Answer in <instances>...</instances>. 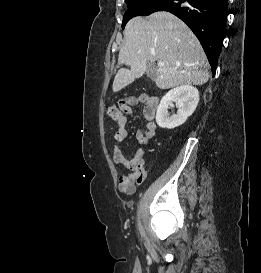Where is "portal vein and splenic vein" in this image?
<instances>
[{
    "instance_id": "18ae733b",
    "label": "portal vein and splenic vein",
    "mask_w": 261,
    "mask_h": 273,
    "mask_svg": "<svg viewBox=\"0 0 261 273\" xmlns=\"http://www.w3.org/2000/svg\"><path fill=\"white\" fill-rule=\"evenodd\" d=\"M158 66H159V67L164 66V62H162V61L158 62Z\"/></svg>"
}]
</instances>
